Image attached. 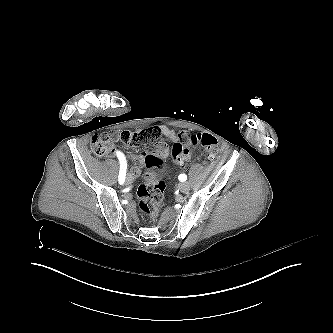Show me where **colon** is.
I'll use <instances>...</instances> for the list:
<instances>
[{
	"mask_svg": "<svg viewBox=\"0 0 333 333\" xmlns=\"http://www.w3.org/2000/svg\"><path fill=\"white\" fill-rule=\"evenodd\" d=\"M159 135L158 128L151 126L145 132L131 133L123 131L120 135V140L125 145L138 148L143 147L146 142L155 145L152 142L156 141ZM118 139L117 132L103 128L92 137L91 149L95 155L101 157L110 151L111 146L117 143ZM210 141V137H205L201 143L208 153L216 155L218 153L217 146L210 145ZM156 149L157 151L154 155L146 154L144 157V165L148 171L145 173L144 183L140 185L137 191L139 210L144 217L151 220H155L162 210L164 183L156 171L164 169V159L167 156L166 151L160 146ZM171 156L177 161H182L187 157V151L180 145H176L171 152Z\"/></svg>",
	"mask_w": 333,
	"mask_h": 333,
	"instance_id": "1",
	"label": "colon"
}]
</instances>
